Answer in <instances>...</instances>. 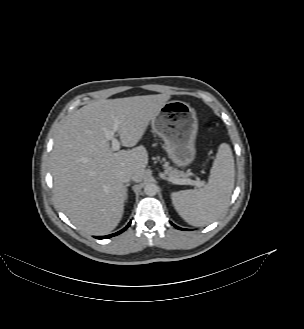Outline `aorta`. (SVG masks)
Listing matches in <instances>:
<instances>
[{"instance_id":"762f6f07","label":"aorta","mask_w":304,"mask_h":329,"mask_svg":"<svg viewBox=\"0 0 304 329\" xmlns=\"http://www.w3.org/2000/svg\"><path fill=\"white\" fill-rule=\"evenodd\" d=\"M144 192L148 196H154L158 192V186L154 183L146 184L144 187Z\"/></svg>"}]
</instances>
